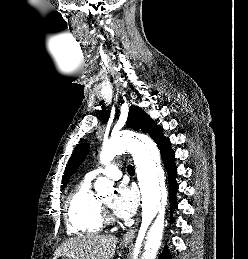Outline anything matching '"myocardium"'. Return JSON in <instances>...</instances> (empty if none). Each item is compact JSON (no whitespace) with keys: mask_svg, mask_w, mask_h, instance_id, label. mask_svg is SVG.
Listing matches in <instances>:
<instances>
[{"mask_svg":"<svg viewBox=\"0 0 248 259\" xmlns=\"http://www.w3.org/2000/svg\"><path fill=\"white\" fill-rule=\"evenodd\" d=\"M100 205H101L102 215H103L104 221H106V222H113L114 221V217L110 214L109 209H108V205L105 204L102 201H100Z\"/></svg>","mask_w":248,"mask_h":259,"instance_id":"myocardium-1","label":"myocardium"}]
</instances>
